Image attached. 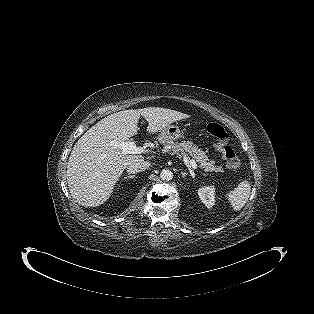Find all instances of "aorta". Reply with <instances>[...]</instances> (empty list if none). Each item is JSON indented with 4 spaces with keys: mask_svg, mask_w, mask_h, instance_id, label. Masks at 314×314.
Masks as SVG:
<instances>
[{
    "mask_svg": "<svg viewBox=\"0 0 314 314\" xmlns=\"http://www.w3.org/2000/svg\"><path fill=\"white\" fill-rule=\"evenodd\" d=\"M160 178L165 181H170L173 178V173L169 169H163L160 173Z\"/></svg>",
    "mask_w": 314,
    "mask_h": 314,
    "instance_id": "762f6f07",
    "label": "aorta"
}]
</instances>
